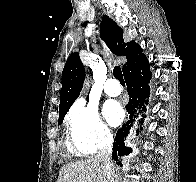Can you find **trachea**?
I'll return each instance as SVG.
<instances>
[{
    "mask_svg": "<svg viewBox=\"0 0 196 182\" xmlns=\"http://www.w3.org/2000/svg\"><path fill=\"white\" fill-rule=\"evenodd\" d=\"M113 75L116 79L119 80V82L122 84V85H125V81H124V78H123V75H122V71H121V68L119 66H115L114 69H113Z\"/></svg>",
    "mask_w": 196,
    "mask_h": 182,
    "instance_id": "trachea-1",
    "label": "trachea"
}]
</instances>
